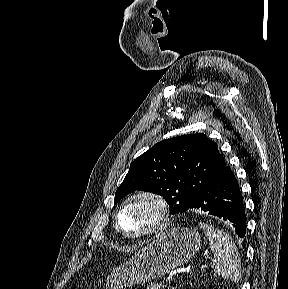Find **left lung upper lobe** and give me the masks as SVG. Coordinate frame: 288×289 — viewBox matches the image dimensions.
<instances>
[{
  "label": "left lung upper lobe",
  "instance_id": "left-lung-upper-lobe-1",
  "mask_svg": "<svg viewBox=\"0 0 288 289\" xmlns=\"http://www.w3.org/2000/svg\"><path fill=\"white\" fill-rule=\"evenodd\" d=\"M224 166L218 145L204 134L161 141L131 163L115 203L133 191H148L161 195L172 214L184 212Z\"/></svg>",
  "mask_w": 288,
  "mask_h": 289
}]
</instances>
